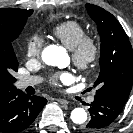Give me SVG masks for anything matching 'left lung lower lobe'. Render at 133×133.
<instances>
[{"label": "left lung lower lobe", "mask_w": 133, "mask_h": 133, "mask_svg": "<svg viewBox=\"0 0 133 133\" xmlns=\"http://www.w3.org/2000/svg\"><path fill=\"white\" fill-rule=\"evenodd\" d=\"M123 107L104 96L95 95L89 108L91 120L82 127L84 133H99L104 130L118 117Z\"/></svg>", "instance_id": "obj_1"}]
</instances>
